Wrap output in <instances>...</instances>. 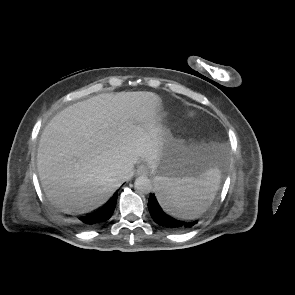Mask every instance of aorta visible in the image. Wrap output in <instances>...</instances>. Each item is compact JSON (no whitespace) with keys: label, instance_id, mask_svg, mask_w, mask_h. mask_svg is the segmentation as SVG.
Masks as SVG:
<instances>
[{"label":"aorta","instance_id":"obj_1","mask_svg":"<svg viewBox=\"0 0 295 295\" xmlns=\"http://www.w3.org/2000/svg\"><path fill=\"white\" fill-rule=\"evenodd\" d=\"M134 186L139 192L144 193V194H148L152 190L151 180L147 176H144V175L136 178V180L134 182Z\"/></svg>","mask_w":295,"mask_h":295}]
</instances>
